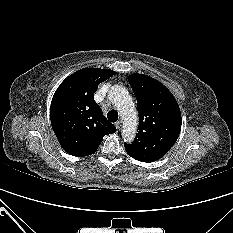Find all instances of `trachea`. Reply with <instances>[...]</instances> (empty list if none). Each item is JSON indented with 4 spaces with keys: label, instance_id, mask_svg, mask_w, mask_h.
I'll list each match as a JSON object with an SVG mask.
<instances>
[{
    "label": "trachea",
    "instance_id": "3493384b",
    "mask_svg": "<svg viewBox=\"0 0 233 233\" xmlns=\"http://www.w3.org/2000/svg\"><path fill=\"white\" fill-rule=\"evenodd\" d=\"M107 118L111 122H116L118 120V112L116 110H111L107 114Z\"/></svg>",
    "mask_w": 233,
    "mask_h": 233
}]
</instances>
